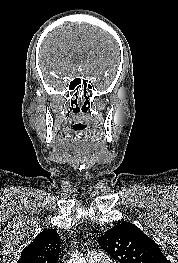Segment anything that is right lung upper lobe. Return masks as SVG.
<instances>
[{
  "instance_id": "cb5924a9",
  "label": "right lung upper lobe",
  "mask_w": 178,
  "mask_h": 263,
  "mask_svg": "<svg viewBox=\"0 0 178 263\" xmlns=\"http://www.w3.org/2000/svg\"><path fill=\"white\" fill-rule=\"evenodd\" d=\"M60 239L55 229H45L22 252L17 263H57Z\"/></svg>"
}]
</instances>
